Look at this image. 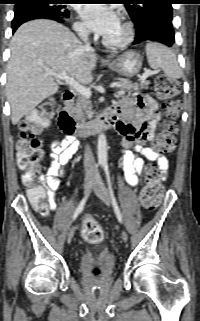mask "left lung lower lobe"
Returning <instances> with one entry per match:
<instances>
[{
	"label": "left lung lower lobe",
	"instance_id": "left-lung-lower-lobe-1",
	"mask_svg": "<svg viewBox=\"0 0 200 321\" xmlns=\"http://www.w3.org/2000/svg\"><path fill=\"white\" fill-rule=\"evenodd\" d=\"M136 37L133 44L156 41L172 46L175 40L172 21L162 17L147 18L135 24Z\"/></svg>",
	"mask_w": 200,
	"mask_h": 321
}]
</instances>
